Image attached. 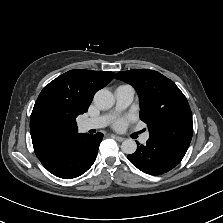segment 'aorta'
Masks as SVG:
<instances>
[{"label":"aorta","instance_id":"obj_1","mask_svg":"<svg viewBox=\"0 0 223 223\" xmlns=\"http://www.w3.org/2000/svg\"><path fill=\"white\" fill-rule=\"evenodd\" d=\"M94 104L101 110H108L114 104V96L108 89L103 88L96 92ZM137 149V144L133 139H126L121 144V150L126 154H133Z\"/></svg>","mask_w":223,"mask_h":223}]
</instances>
